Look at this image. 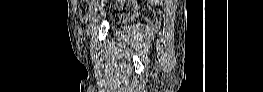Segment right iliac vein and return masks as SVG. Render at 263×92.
Returning <instances> with one entry per match:
<instances>
[{
  "label": "right iliac vein",
  "instance_id": "63e3f726",
  "mask_svg": "<svg viewBox=\"0 0 263 92\" xmlns=\"http://www.w3.org/2000/svg\"><path fill=\"white\" fill-rule=\"evenodd\" d=\"M100 0H95L92 4V6L89 9V15L87 18L93 19V17L96 15L97 11L100 9ZM94 29V24L90 23L88 25V31L91 32Z\"/></svg>",
  "mask_w": 263,
  "mask_h": 92
}]
</instances>
